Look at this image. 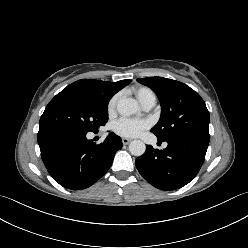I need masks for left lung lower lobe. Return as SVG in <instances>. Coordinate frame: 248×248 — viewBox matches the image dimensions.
Listing matches in <instances>:
<instances>
[{
  "label": "left lung lower lobe",
  "mask_w": 248,
  "mask_h": 248,
  "mask_svg": "<svg viewBox=\"0 0 248 248\" xmlns=\"http://www.w3.org/2000/svg\"><path fill=\"white\" fill-rule=\"evenodd\" d=\"M209 140L208 134L179 135L165 140L168 145L163 150L148 145L135 165L141 176L154 187L167 191L179 189L199 172Z\"/></svg>",
  "instance_id": "left-lung-lower-lobe-1"
}]
</instances>
